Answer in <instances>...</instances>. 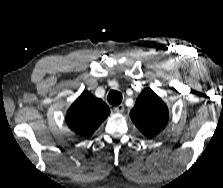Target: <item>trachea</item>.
<instances>
[{"label": "trachea", "instance_id": "trachea-1", "mask_svg": "<svg viewBox=\"0 0 223 188\" xmlns=\"http://www.w3.org/2000/svg\"><path fill=\"white\" fill-rule=\"evenodd\" d=\"M122 94L118 91L111 90L107 96V100L111 105H119L122 102Z\"/></svg>", "mask_w": 223, "mask_h": 188}]
</instances>
